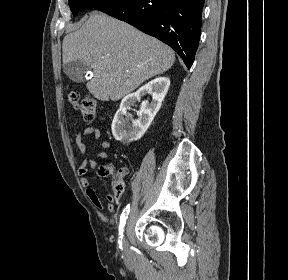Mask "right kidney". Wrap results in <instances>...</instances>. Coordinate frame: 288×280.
<instances>
[{"label": "right kidney", "mask_w": 288, "mask_h": 280, "mask_svg": "<svg viewBox=\"0 0 288 280\" xmlns=\"http://www.w3.org/2000/svg\"><path fill=\"white\" fill-rule=\"evenodd\" d=\"M170 86L166 77H158L139 88L135 93L125 96L112 122V134L116 140L129 143L139 140L149 128ZM147 94L152 95V101H143L134 119L129 113L136 101Z\"/></svg>", "instance_id": "right-kidney-1"}]
</instances>
